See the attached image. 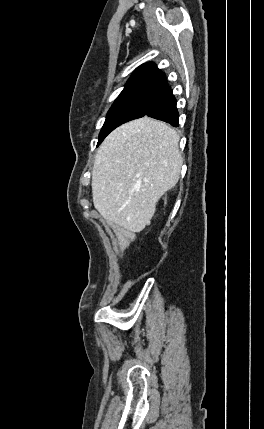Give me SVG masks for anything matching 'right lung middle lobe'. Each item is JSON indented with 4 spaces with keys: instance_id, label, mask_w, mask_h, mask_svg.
<instances>
[{
    "instance_id": "right-lung-middle-lobe-1",
    "label": "right lung middle lobe",
    "mask_w": 264,
    "mask_h": 429,
    "mask_svg": "<svg viewBox=\"0 0 264 429\" xmlns=\"http://www.w3.org/2000/svg\"><path fill=\"white\" fill-rule=\"evenodd\" d=\"M161 92L162 88L152 87L123 90L107 113L97 146L119 125L146 115Z\"/></svg>"
}]
</instances>
